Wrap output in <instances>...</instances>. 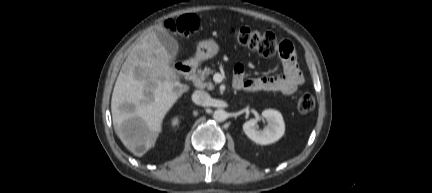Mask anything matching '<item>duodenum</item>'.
Here are the masks:
<instances>
[{"label":"duodenum","instance_id":"410a0bca","mask_svg":"<svg viewBox=\"0 0 432 193\" xmlns=\"http://www.w3.org/2000/svg\"><path fill=\"white\" fill-rule=\"evenodd\" d=\"M177 70L182 76H192L195 74L197 61L195 59H189L184 62L177 64ZM238 88L237 86H235Z\"/></svg>","mask_w":432,"mask_h":193}]
</instances>
